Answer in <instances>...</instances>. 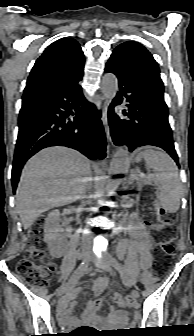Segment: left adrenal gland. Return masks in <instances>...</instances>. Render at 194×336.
I'll list each match as a JSON object with an SVG mask.
<instances>
[{"instance_id": "a2214340", "label": "left adrenal gland", "mask_w": 194, "mask_h": 336, "mask_svg": "<svg viewBox=\"0 0 194 336\" xmlns=\"http://www.w3.org/2000/svg\"><path fill=\"white\" fill-rule=\"evenodd\" d=\"M137 179H138V177H136L134 172H132L131 175H130V178H129V184H132L135 180L137 181Z\"/></svg>"}]
</instances>
